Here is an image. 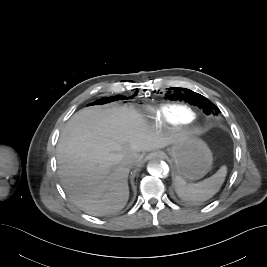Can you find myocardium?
<instances>
[{"instance_id": "obj_1", "label": "myocardium", "mask_w": 267, "mask_h": 267, "mask_svg": "<svg viewBox=\"0 0 267 267\" xmlns=\"http://www.w3.org/2000/svg\"><path fill=\"white\" fill-rule=\"evenodd\" d=\"M199 126L198 123L194 120L190 121L187 125V130L190 133H194L198 130Z\"/></svg>"}]
</instances>
